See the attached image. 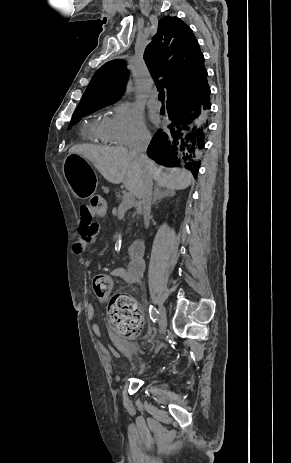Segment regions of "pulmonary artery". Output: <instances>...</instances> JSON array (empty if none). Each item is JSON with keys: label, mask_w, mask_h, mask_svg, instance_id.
Wrapping results in <instances>:
<instances>
[{"label": "pulmonary artery", "mask_w": 291, "mask_h": 463, "mask_svg": "<svg viewBox=\"0 0 291 463\" xmlns=\"http://www.w3.org/2000/svg\"><path fill=\"white\" fill-rule=\"evenodd\" d=\"M148 106L150 109H153V110H159L161 108V104L157 99V93L154 92L150 95Z\"/></svg>", "instance_id": "e3ab8cb5"}]
</instances>
